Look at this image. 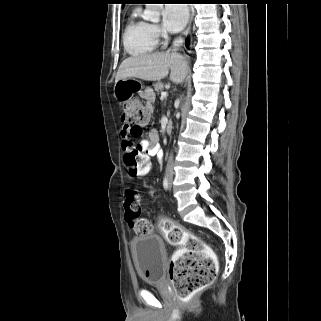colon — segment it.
Returning a JSON list of instances; mask_svg holds the SVG:
<instances>
[{
	"label": "colon",
	"instance_id": "1",
	"mask_svg": "<svg viewBox=\"0 0 321 321\" xmlns=\"http://www.w3.org/2000/svg\"><path fill=\"white\" fill-rule=\"evenodd\" d=\"M121 117L131 135L139 137L149 122L150 112L140 100L132 99L123 103ZM124 161L133 175H142L150 168L148 156L137 150L127 153ZM124 208L125 220L133 232L143 235L152 231V223L140 216V193L137 189H126ZM158 226L166 241L179 247L171 261L169 274L178 296L189 299L215 279L216 256L200 238L172 220L160 218Z\"/></svg>",
	"mask_w": 321,
	"mask_h": 321
}]
</instances>
